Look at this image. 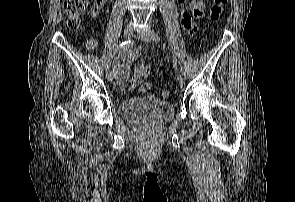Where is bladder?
I'll return each instance as SVG.
<instances>
[{"mask_svg": "<svg viewBox=\"0 0 295 202\" xmlns=\"http://www.w3.org/2000/svg\"><path fill=\"white\" fill-rule=\"evenodd\" d=\"M174 112L170 102L151 95L126 99L120 103L118 111L124 119L155 125L171 120Z\"/></svg>", "mask_w": 295, "mask_h": 202, "instance_id": "obj_1", "label": "bladder"}]
</instances>
